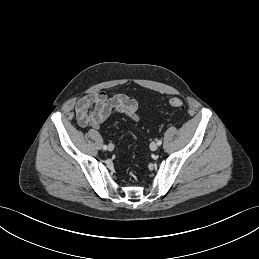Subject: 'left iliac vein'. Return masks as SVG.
Instances as JSON below:
<instances>
[{"instance_id": "4c4485c4", "label": "left iliac vein", "mask_w": 259, "mask_h": 259, "mask_svg": "<svg viewBox=\"0 0 259 259\" xmlns=\"http://www.w3.org/2000/svg\"><path fill=\"white\" fill-rule=\"evenodd\" d=\"M150 149H151L152 151H156V150L158 149V144H157L156 142H152V143L150 144Z\"/></svg>"}]
</instances>
